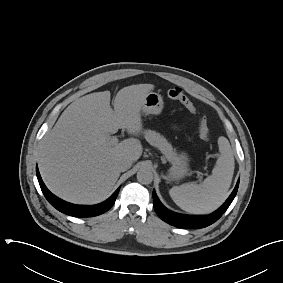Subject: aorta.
<instances>
[{
  "label": "aorta",
  "mask_w": 283,
  "mask_h": 283,
  "mask_svg": "<svg viewBox=\"0 0 283 283\" xmlns=\"http://www.w3.org/2000/svg\"><path fill=\"white\" fill-rule=\"evenodd\" d=\"M137 180L142 184H150L153 181V173L150 168L142 167L137 172Z\"/></svg>",
  "instance_id": "aorta-1"
}]
</instances>
